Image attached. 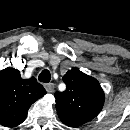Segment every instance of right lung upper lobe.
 <instances>
[{
  "label": "right lung upper lobe",
  "instance_id": "cb5924a9",
  "mask_svg": "<svg viewBox=\"0 0 130 130\" xmlns=\"http://www.w3.org/2000/svg\"><path fill=\"white\" fill-rule=\"evenodd\" d=\"M45 94L46 90L34 77L22 79L14 68L0 71V124L19 125L25 120L29 107Z\"/></svg>",
  "mask_w": 130,
  "mask_h": 130
}]
</instances>
